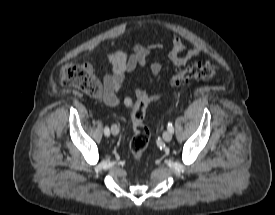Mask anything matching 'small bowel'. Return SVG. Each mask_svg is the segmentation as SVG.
<instances>
[{"label": "small bowel", "instance_id": "small-bowel-1", "mask_svg": "<svg viewBox=\"0 0 275 215\" xmlns=\"http://www.w3.org/2000/svg\"><path fill=\"white\" fill-rule=\"evenodd\" d=\"M171 40L172 48L168 53V58L176 66L184 65L190 59L201 54V49L197 45L186 49L182 39L175 33L172 34ZM160 52H162V49L156 44L148 47L136 44L132 47V52L129 56L122 50H115L110 53L108 55L110 72L103 79L104 102L110 107H116L119 104L118 94L125 84L126 76L134 72L138 67H145L148 63V58ZM149 69L153 75H158L162 69V65L158 61H153L150 63ZM135 96L139 101L147 98L149 95L146 91L137 89ZM123 103L129 108L134 105V101L130 96H125Z\"/></svg>", "mask_w": 275, "mask_h": 215}]
</instances>
